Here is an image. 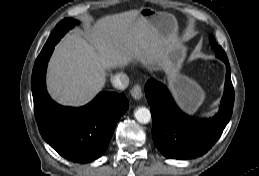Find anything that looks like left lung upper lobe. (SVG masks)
Masks as SVG:
<instances>
[{
	"label": "left lung upper lobe",
	"instance_id": "1",
	"mask_svg": "<svg viewBox=\"0 0 259 176\" xmlns=\"http://www.w3.org/2000/svg\"><path fill=\"white\" fill-rule=\"evenodd\" d=\"M210 42H211V44H213V46H214V49H215V51H216V56H217L218 58H220L221 60L227 59V56H226L224 50H223L220 46H218V45L216 44L215 39H214L213 36L210 37Z\"/></svg>",
	"mask_w": 259,
	"mask_h": 176
}]
</instances>
